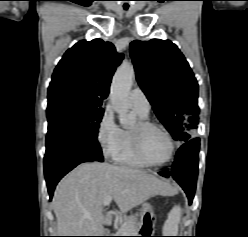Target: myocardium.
<instances>
[{
    "instance_id": "1",
    "label": "myocardium",
    "mask_w": 248,
    "mask_h": 237,
    "mask_svg": "<svg viewBox=\"0 0 248 237\" xmlns=\"http://www.w3.org/2000/svg\"><path fill=\"white\" fill-rule=\"evenodd\" d=\"M148 129H157L162 132L167 138L170 145V151L168 157L164 161L153 162L146 157L142 148V135ZM130 139L135 155L147 166L162 167L167 165L174 157L176 149L175 142L169 131L164 126L158 123L151 122L149 120H139L136 125L130 130Z\"/></svg>"
}]
</instances>
